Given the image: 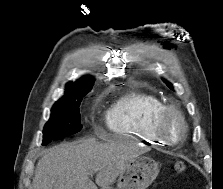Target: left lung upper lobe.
Here are the masks:
<instances>
[{
  "label": "left lung upper lobe",
  "instance_id": "obj_1",
  "mask_svg": "<svg viewBox=\"0 0 223 189\" xmlns=\"http://www.w3.org/2000/svg\"><path fill=\"white\" fill-rule=\"evenodd\" d=\"M166 84H167V86H168L169 88L173 89V88H172V85H171L170 83H167V82H166Z\"/></svg>",
  "mask_w": 223,
  "mask_h": 189
}]
</instances>
